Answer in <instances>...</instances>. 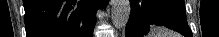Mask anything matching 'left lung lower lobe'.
Here are the masks:
<instances>
[{"label":"left lung lower lobe","mask_w":219,"mask_h":37,"mask_svg":"<svg viewBox=\"0 0 219 37\" xmlns=\"http://www.w3.org/2000/svg\"><path fill=\"white\" fill-rule=\"evenodd\" d=\"M131 13L126 25V37H143L153 25L165 26L185 37H192L186 13L165 0H146L142 7L137 0H130Z\"/></svg>","instance_id":"obj_1"}]
</instances>
